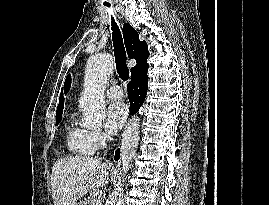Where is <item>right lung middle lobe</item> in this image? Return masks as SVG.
<instances>
[{
	"label": "right lung middle lobe",
	"mask_w": 269,
	"mask_h": 205,
	"mask_svg": "<svg viewBox=\"0 0 269 205\" xmlns=\"http://www.w3.org/2000/svg\"><path fill=\"white\" fill-rule=\"evenodd\" d=\"M60 121H61V116H57L56 117V125H58L60 123Z\"/></svg>",
	"instance_id": "dd1d6c3e"
}]
</instances>
